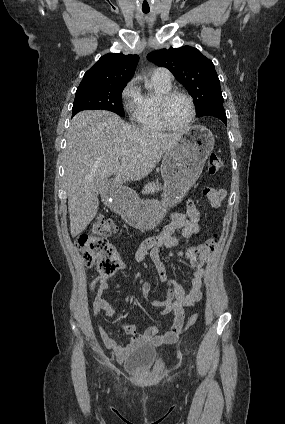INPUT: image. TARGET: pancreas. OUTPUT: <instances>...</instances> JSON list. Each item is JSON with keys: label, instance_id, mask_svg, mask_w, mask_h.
Returning <instances> with one entry per match:
<instances>
[{"label": "pancreas", "instance_id": "cf45deb5", "mask_svg": "<svg viewBox=\"0 0 285 424\" xmlns=\"http://www.w3.org/2000/svg\"><path fill=\"white\" fill-rule=\"evenodd\" d=\"M162 189L161 184L158 181L148 183L144 189L142 190V194H154L155 192H159Z\"/></svg>", "mask_w": 285, "mask_h": 424}]
</instances>
